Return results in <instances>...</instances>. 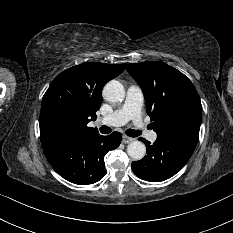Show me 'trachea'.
Returning <instances> with one entry per match:
<instances>
[{
  "label": "trachea",
  "instance_id": "1",
  "mask_svg": "<svg viewBox=\"0 0 233 233\" xmlns=\"http://www.w3.org/2000/svg\"><path fill=\"white\" fill-rule=\"evenodd\" d=\"M100 132L103 134H109L111 132V128L105 125H102L100 127ZM126 134L130 137H137L141 134V131L139 130H133V129H128L126 130Z\"/></svg>",
  "mask_w": 233,
  "mask_h": 233
}]
</instances>
